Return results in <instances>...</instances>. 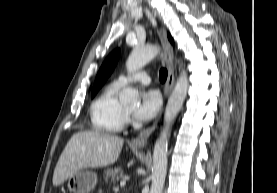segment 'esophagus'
Segmentation results:
<instances>
[{
  "mask_svg": "<svg viewBox=\"0 0 277 193\" xmlns=\"http://www.w3.org/2000/svg\"><path fill=\"white\" fill-rule=\"evenodd\" d=\"M157 32H158V35H159V38H160V41H161V44L163 47L162 55H163L164 61L167 66V71H168L167 81H166L165 89H164V98L166 100L168 98V96L170 95V93L174 87V83H175L173 51H172L171 45L168 41L165 30L163 28L159 27L157 29ZM162 111H163V108L160 110V113L152 126L143 130L136 138H134L132 140V144L134 146L144 147L146 145V142H147L149 136L156 129V127L158 125V122L162 115Z\"/></svg>",
  "mask_w": 277,
  "mask_h": 193,
  "instance_id": "obj_1",
  "label": "esophagus"
}]
</instances>
